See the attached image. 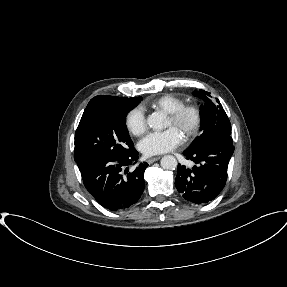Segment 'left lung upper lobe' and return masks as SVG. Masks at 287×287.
<instances>
[{
	"mask_svg": "<svg viewBox=\"0 0 287 287\" xmlns=\"http://www.w3.org/2000/svg\"><path fill=\"white\" fill-rule=\"evenodd\" d=\"M194 95L205 102L200 111L202 133L187 151L200 150L213 142L230 137L231 134L230 121L219 100H212L210 93L204 90L195 91Z\"/></svg>",
	"mask_w": 287,
	"mask_h": 287,
	"instance_id": "obj_1",
	"label": "left lung upper lobe"
}]
</instances>
